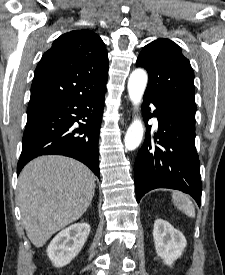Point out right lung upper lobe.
Returning <instances> with one entry per match:
<instances>
[{"mask_svg":"<svg viewBox=\"0 0 225 275\" xmlns=\"http://www.w3.org/2000/svg\"><path fill=\"white\" fill-rule=\"evenodd\" d=\"M108 76V54L90 30L61 35L42 56L34 73L28 109L98 92Z\"/></svg>","mask_w":225,"mask_h":275,"instance_id":"obj_1","label":"right lung upper lobe"}]
</instances>
